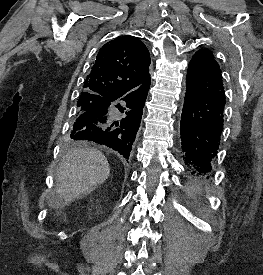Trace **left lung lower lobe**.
<instances>
[{"mask_svg": "<svg viewBox=\"0 0 263 275\" xmlns=\"http://www.w3.org/2000/svg\"><path fill=\"white\" fill-rule=\"evenodd\" d=\"M225 91L213 54L202 49L188 66L180 135L184 165L191 174L213 169L223 130Z\"/></svg>", "mask_w": 263, "mask_h": 275, "instance_id": "left-lung-lower-lobe-1", "label": "left lung lower lobe"}]
</instances>
